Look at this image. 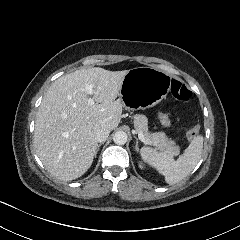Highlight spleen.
I'll return each instance as SVG.
<instances>
[{"label":"spleen","instance_id":"obj_1","mask_svg":"<svg viewBox=\"0 0 240 240\" xmlns=\"http://www.w3.org/2000/svg\"><path fill=\"white\" fill-rule=\"evenodd\" d=\"M202 149L203 138L198 136L176 160L150 147L142 148L141 154L145 161L156 166L165 175L167 183L175 184L193 171L201 158Z\"/></svg>","mask_w":240,"mask_h":240}]
</instances>
